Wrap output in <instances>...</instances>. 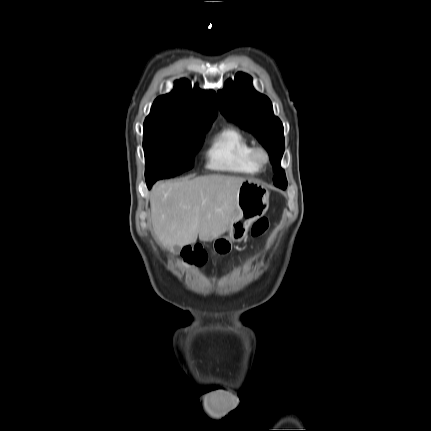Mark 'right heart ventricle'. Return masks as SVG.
<instances>
[{
	"label": "right heart ventricle",
	"mask_w": 431,
	"mask_h": 431,
	"mask_svg": "<svg viewBox=\"0 0 431 431\" xmlns=\"http://www.w3.org/2000/svg\"><path fill=\"white\" fill-rule=\"evenodd\" d=\"M254 146L238 128L227 127L217 133L207 151V167L216 171L255 175L261 167L252 159Z\"/></svg>",
	"instance_id": "e07e8e85"
}]
</instances>
